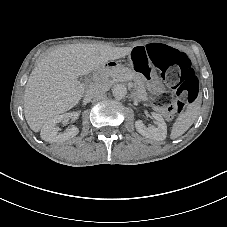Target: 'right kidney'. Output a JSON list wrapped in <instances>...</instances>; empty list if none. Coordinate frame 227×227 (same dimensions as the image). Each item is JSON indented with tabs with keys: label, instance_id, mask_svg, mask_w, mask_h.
<instances>
[{
	"label": "right kidney",
	"instance_id": "obj_1",
	"mask_svg": "<svg viewBox=\"0 0 227 227\" xmlns=\"http://www.w3.org/2000/svg\"><path fill=\"white\" fill-rule=\"evenodd\" d=\"M79 115L80 114L78 112H70L62 115H56L49 119L41 129V139L49 143H54L64 142L73 138L79 133V129L76 126L67 128L65 132L59 133L60 129L59 127H56V124L62 121H68L69 119L75 121L79 118Z\"/></svg>",
	"mask_w": 227,
	"mask_h": 227
}]
</instances>
